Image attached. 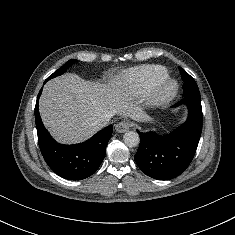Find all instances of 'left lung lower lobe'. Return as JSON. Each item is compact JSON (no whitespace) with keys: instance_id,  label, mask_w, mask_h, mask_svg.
Segmentation results:
<instances>
[{"instance_id":"1","label":"left lung lower lobe","mask_w":235,"mask_h":235,"mask_svg":"<svg viewBox=\"0 0 235 235\" xmlns=\"http://www.w3.org/2000/svg\"><path fill=\"white\" fill-rule=\"evenodd\" d=\"M189 81L183 84V99L174 107L185 104L189 115L174 132L159 136L155 132L142 133L134 156L136 164L148 176L169 180L183 173L191 163L202 132L201 96L193 94Z\"/></svg>"}]
</instances>
